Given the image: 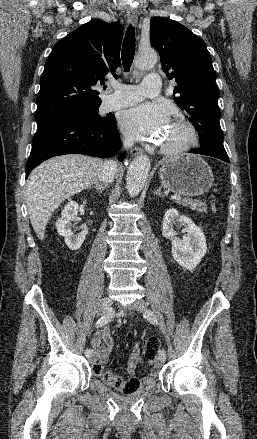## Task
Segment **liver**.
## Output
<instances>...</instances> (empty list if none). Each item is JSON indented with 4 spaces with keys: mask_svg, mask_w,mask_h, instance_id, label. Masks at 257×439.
Returning <instances> with one entry per match:
<instances>
[{
    "mask_svg": "<svg viewBox=\"0 0 257 439\" xmlns=\"http://www.w3.org/2000/svg\"><path fill=\"white\" fill-rule=\"evenodd\" d=\"M107 162L71 154L51 158L32 171L26 186L29 218L40 240L60 204L95 184Z\"/></svg>",
    "mask_w": 257,
    "mask_h": 439,
    "instance_id": "6515ba94",
    "label": "liver"
}]
</instances>
